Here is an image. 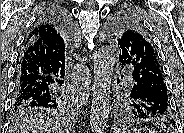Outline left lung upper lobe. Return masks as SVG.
<instances>
[{
    "label": "left lung upper lobe",
    "mask_w": 184,
    "mask_h": 133,
    "mask_svg": "<svg viewBox=\"0 0 184 133\" xmlns=\"http://www.w3.org/2000/svg\"><path fill=\"white\" fill-rule=\"evenodd\" d=\"M107 32L118 46L119 61L122 65L132 64L135 66L137 59L141 58L145 64L149 65L148 67L152 65L162 73L153 43L137 17L128 13L118 15L110 21ZM123 93L125 95L123 100H120L119 107L128 115L135 117L132 107V90H123Z\"/></svg>",
    "instance_id": "left-lung-upper-lobe-1"
}]
</instances>
